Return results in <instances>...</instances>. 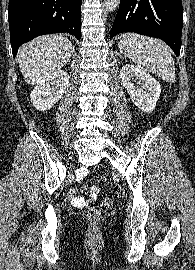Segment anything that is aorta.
I'll use <instances>...</instances> for the list:
<instances>
[{"mask_svg": "<svg viewBox=\"0 0 195 270\" xmlns=\"http://www.w3.org/2000/svg\"><path fill=\"white\" fill-rule=\"evenodd\" d=\"M120 0H105V7L108 12H114L119 6Z\"/></svg>", "mask_w": 195, "mask_h": 270, "instance_id": "762f6f07", "label": "aorta"}]
</instances>
